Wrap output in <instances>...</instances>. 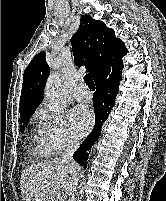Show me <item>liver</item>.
<instances>
[{
	"mask_svg": "<svg viewBox=\"0 0 166 201\" xmlns=\"http://www.w3.org/2000/svg\"><path fill=\"white\" fill-rule=\"evenodd\" d=\"M80 167L74 162L51 160L26 167L21 173L23 201H65L75 188Z\"/></svg>",
	"mask_w": 166,
	"mask_h": 201,
	"instance_id": "liver-1",
	"label": "liver"
}]
</instances>
